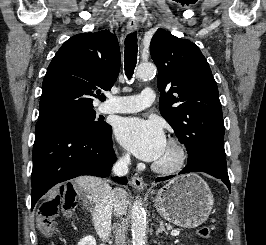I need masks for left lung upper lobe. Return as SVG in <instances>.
I'll use <instances>...</instances> for the list:
<instances>
[{
	"label": "left lung upper lobe",
	"mask_w": 266,
	"mask_h": 245,
	"mask_svg": "<svg viewBox=\"0 0 266 245\" xmlns=\"http://www.w3.org/2000/svg\"><path fill=\"white\" fill-rule=\"evenodd\" d=\"M158 68L161 115L188 152V163L207 154L226 161L224 124L216 81L200 49L158 29L150 43Z\"/></svg>",
	"instance_id": "left-lung-upper-lobe-1"
}]
</instances>
